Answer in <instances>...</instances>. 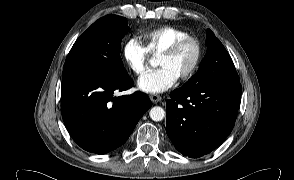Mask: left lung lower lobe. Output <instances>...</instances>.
Masks as SVG:
<instances>
[{
	"mask_svg": "<svg viewBox=\"0 0 294 180\" xmlns=\"http://www.w3.org/2000/svg\"><path fill=\"white\" fill-rule=\"evenodd\" d=\"M240 83L178 88L166 102V132L183 155L210 153L231 133L240 105Z\"/></svg>",
	"mask_w": 294,
	"mask_h": 180,
	"instance_id": "1",
	"label": "left lung lower lobe"
}]
</instances>
